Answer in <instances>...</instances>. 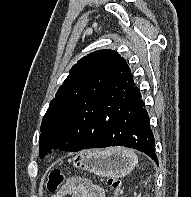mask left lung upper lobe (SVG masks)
Returning a JSON list of instances; mask_svg holds the SVG:
<instances>
[{
    "instance_id": "5c2ea615",
    "label": "left lung upper lobe",
    "mask_w": 191,
    "mask_h": 197,
    "mask_svg": "<svg viewBox=\"0 0 191 197\" xmlns=\"http://www.w3.org/2000/svg\"><path fill=\"white\" fill-rule=\"evenodd\" d=\"M132 79L123 57L112 50H99L81 58L59 87L41 124L40 157L54 149L71 150L64 130L74 117L88 108L102 92Z\"/></svg>"
}]
</instances>
